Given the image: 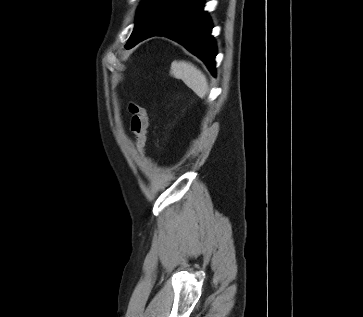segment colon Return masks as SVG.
<instances>
[{"mask_svg":"<svg viewBox=\"0 0 363 317\" xmlns=\"http://www.w3.org/2000/svg\"><path fill=\"white\" fill-rule=\"evenodd\" d=\"M131 114V131L135 137V145L139 152H143L147 137V113L143 106L131 102L128 106Z\"/></svg>","mask_w":363,"mask_h":317,"instance_id":"obj_1","label":"colon"}]
</instances>
